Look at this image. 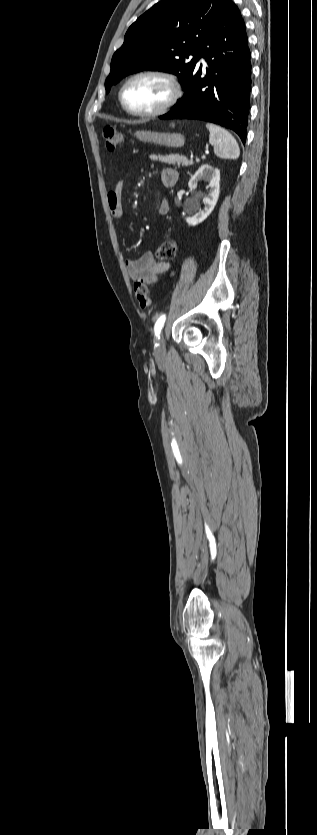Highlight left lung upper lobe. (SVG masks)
I'll list each match as a JSON object with an SVG mask.
<instances>
[{
    "label": "left lung upper lobe",
    "instance_id": "left-lung-upper-lobe-1",
    "mask_svg": "<svg viewBox=\"0 0 317 835\" xmlns=\"http://www.w3.org/2000/svg\"><path fill=\"white\" fill-rule=\"evenodd\" d=\"M230 3L231 0L156 3L129 27L123 45L114 53L106 92L126 75L142 70L175 74L184 88L196 68L202 45Z\"/></svg>",
    "mask_w": 317,
    "mask_h": 835
}]
</instances>
